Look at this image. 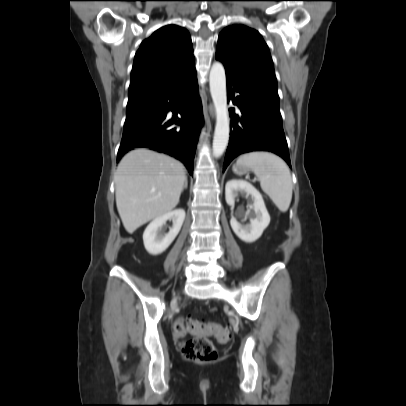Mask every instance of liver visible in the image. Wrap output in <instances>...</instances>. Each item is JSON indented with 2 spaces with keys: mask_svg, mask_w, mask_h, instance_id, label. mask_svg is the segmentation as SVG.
Here are the masks:
<instances>
[{
  "mask_svg": "<svg viewBox=\"0 0 406 406\" xmlns=\"http://www.w3.org/2000/svg\"><path fill=\"white\" fill-rule=\"evenodd\" d=\"M185 168L176 159L148 149H135L120 161L114 177L117 210L132 234L179 203Z\"/></svg>",
  "mask_w": 406,
  "mask_h": 406,
  "instance_id": "6515ba94",
  "label": "liver"
}]
</instances>
